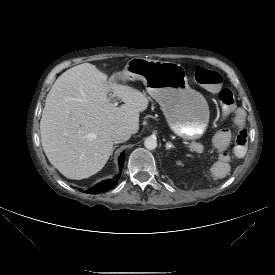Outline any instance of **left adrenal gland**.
<instances>
[{"mask_svg":"<svg viewBox=\"0 0 275 275\" xmlns=\"http://www.w3.org/2000/svg\"><path fill=\"white\" fill-rule=\"evenodd\" d=\"M170 148H175V146L171 142L166 143V149L168 150Z\"/></svg>","mask_w":275,"mask_h":275,"instance_id":"1","label":"left adrenal gland"}]
</instances>
